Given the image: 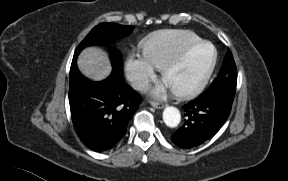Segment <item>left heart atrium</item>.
<instances>
[{
	"instance_id": "left-heart-atrium-1",
	"label": "left heart atrium",
	"mask_w": 288,
	"mask_h": 181,
	"mask_svg": "<svg viewBox=\"0 0 288 181\" xmlns=\"http://www.w3.org/2000/svg\"><path fill=\"white\" fill-rule=\"evenodd\" d=\"M168 88H170V87L167 85L166 82H164V83L158 85V86L154 89L153 94H154L155 96L159 97V96L163 95Z\"/></svg>"
}]
</instances>
